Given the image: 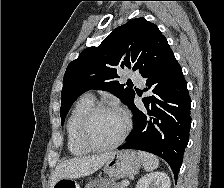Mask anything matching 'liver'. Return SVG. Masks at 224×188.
Instances as JSON below:
<instances>
[{
    "label": "liver",
    "mask_w": 224,
    "mask_h": 188,
    "mask_svg": "<svg viewBox=\"0 0 224 188\" xmlns=\"http://www.w3.org/2000/svg\"><path fill=\"white\" fill-rule=\"evenodd\" d=\"M111 154L112 152H106L62 161L51 175L50 187L53 188L54 184L63 178L76 179L94 173L107 162Z\"/></svg>",
    "instance_id": "6515ba94"
}]
</instances>
